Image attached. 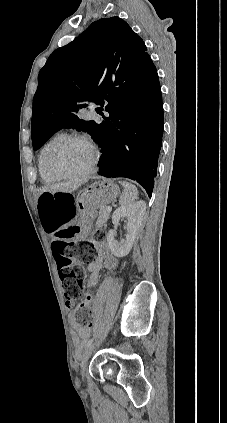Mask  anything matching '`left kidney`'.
I'll return each instance as SVG.
<instances>
[{"label": "left kidney", "mask_w": 227, "mask_h": 423, "mask_svg": "<svg viewBox=\"0 0 227 423\" xmlns=\"http://www.w3.org/2000/svg\"><path fill=\"white\" fill-rule=\"evenodd\" d=\"M145 211V202H136L133 206H122V208H118V210L114 211L112 215L114 225H118L120 217H127L128 221L126 225L127 233H125V239L117 241V239H115L114 229H110L109 233H107L108 245L113 255H116V257H124V255H128L134 243L137 231L143 221Z\"/></svg>", "instance_id": "1"}]
</instances>
